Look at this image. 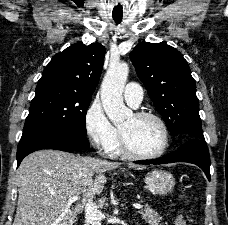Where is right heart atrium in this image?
Segmentation results:
<instances>
[{"label": "right heart atrium", "instance_id": "1", "mask_svg": "<svg viewBox=\"0 0 228 225\" xmlns=\"http://www.w3.org/2000/svg\"><path fill=\"white\" fill-rule=\"evenodd\" d=\"M84 129L91 143L97 148H106L119 136L111 124L100 102L94 101L83 117Z\"/></svg>", "mask_w": 228, "mask_h": 225}]
</instances>
